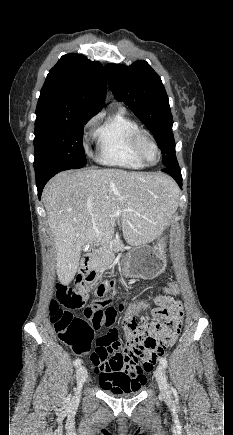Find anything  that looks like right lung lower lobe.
<instances>
[{
	"instance_id": "1",
	"label": "right lung lower lobe",
	"mask_w": 233,
	"mask_h": 435,
	"mask_svg": "<svg viewBox=\"0 0 233 435\" xmlns=\"http://www.w3.org/2000/svg\"><path fill=\"white\" fill-rule=\"evenodd\" d=\"M63 170H68V169L66 167H63V166H54V167H51L48 169H42L39 171H35V173H36V185H37L39 198L41 197L42 190H43L45 184L49 181V179Z\"/></svg>"
}]
</instances>
